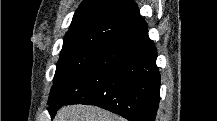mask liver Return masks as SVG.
Masks as SVG:
<instances>
[{
  "instance_id": "1",
  "label": "liver",
  "mask_w": 217,
  "mask_h": 121,
  "mask_svg": "<svg viewBox=\"0 0 217 121\" xmlns=\"http://www.w3.org/2000/svg\"><path fill=\"white\" fill-rule=\"evenodd\" d=\"M54 121H124V119L99 107L71 105L59 109Z\"/></svg>"
}]
</instances>
